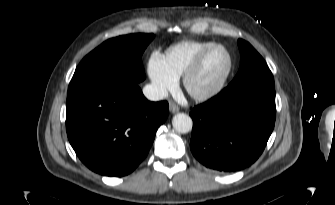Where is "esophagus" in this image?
Segmentation results:
<instances>
[{"label":"esophagus","instance_id":"34e87169","mask_svg":"<svg viewBox=\"0 0 335 205\" xmlns=\"http://www.w3.org/2000/svg\"><path fill=\"white\" fill-rule=\"evenodd\" d=\"M169 110L171 113H177L179 111V107L175 103L171 102L169 104Z\"/></svg>","mask_w":335,"mask_h":205}]
</instances>
